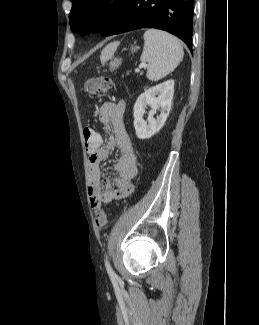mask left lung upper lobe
<instances>
[{"instance_id": "5c2ea615", "label": "left lung upper lobe", "mask_w": 259, "mask_h": 325, "mask_svg": "<svg viewBox=\"0 0 259 325\" xmlns=\"http://www.w3.org/2000/svg\"><path fill=\"white\" fill-rule=\"evenodd\" d=\"M126 0H71L69 14L73 32L86 35L101 31L108 36L123 12Z\"/></svg>"}]
</instances>
